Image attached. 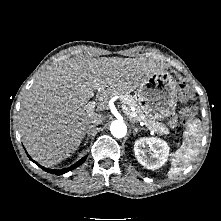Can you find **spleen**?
I'll use <instances>...</instances> for the list:
<instances>
[{
	"label": "spleen",
	"instance_id": "3e777b00",
	"mask_svg": "<svg viewBox=\"0 0 221 221\" xmlns=\"http://www.w3.org/2000/svg\"><path fill=\"white\" fill-rule=\"evenodd\" d=\"M200 139L199 120H195L189 126V131L181 148L171 154L169 177L178 175L190 165L192 160L198 155Z\"/></svg>",
	"mask_w": 221,
	"mask_h": 221
}]
</instances>
